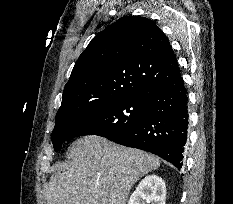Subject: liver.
<instances>
[{"instance_id": "obj_1", "label": "liver", "mask_w": 233, "mask_h": 204, "mask_svg": "<svg viewBox=\"0 0 233 204\" xmlns=\"http://www.w3.org/2000/svg\"><path fill=\"white\" fill-rule=\"evenodd\" d=\"M67 171L49 180L47 204H126L133 185L160 166L158 157L91 135L74 141Z\"/></svg>"}]
</instances>
